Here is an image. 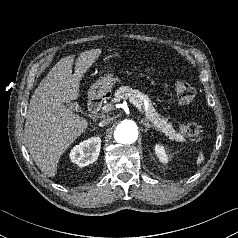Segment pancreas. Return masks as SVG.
<instances>
[{
    "label": "pancreas",
    "mask_w": 238,
    "mask_h": 238,
    "mask_svg": "<svg viewBox=\"0 0 238 238\" xmlns=\"http://www.w3.org/2000/svg\"><path fill=\"white\" fill-rule=\"evenodd\" d=\"M122 99H132L135 100L141 104H143L144 101L148 102V109L144 110L146 117L153 123V125L156 127L158 131H161L166 136H168L170 139L182 142L184 141L183 136L180 133H177L172 124L168 122L167 119L161 117L160 114H158L153 107L150 98L140 92L139 90L132 89L129 86H121L119 87L115 94L114 98H112L111 102H119ZM111 105V104H107Z\"/></svg>",
    "instance_id": "obj_1"
}]
</instances>
